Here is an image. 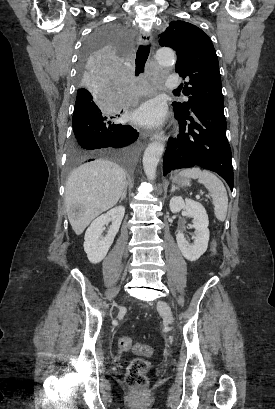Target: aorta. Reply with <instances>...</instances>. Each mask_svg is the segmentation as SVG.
Instances as JSON below:
<instances>
[{
  "mask_svg": "<svg viewBox=\"0 0 275 409\" xmlns=\"http://www.w3.org/2000/svg\"><path fill=\"white\" fill-rule=\"evenodd\" d=\"M156 58L162 66H170L175 62V52L171 48H160L156 52ZM164 144L162 140H153L145 148L143 166L147 178H155L157 164L163 154Z\"/></svg>",
  "mask_w": 275,
  "mask_h": 409,
  "instance_id": "1",
  "label": "aorta"
}]
</instances>
